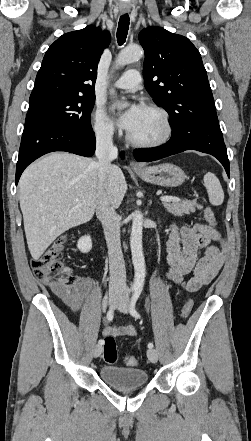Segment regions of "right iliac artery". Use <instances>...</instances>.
<instances>
[{
	"label": "right iliac artery",
	"mask_w": 251,
	"mask_h": 441,
	"mask_svg": "<svg viewBox=\"0 0 251 441\" xmlns=\"http://www.w3.org/2000/svg\"><path fill=\"white\" fill-rule=\"evenodd\" d=\"M131 292V290H128L123 297L128 296V294ZM116 304H114L113 306L110 307V309L107 312V319L108 321H112L113 320V316H114V310H115ZM99 345H103L104 344V340L100 339L98 341Z\"/></svg>",
	"instance_id": "1"
}]
</instances>
